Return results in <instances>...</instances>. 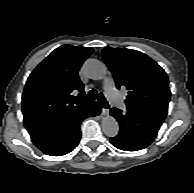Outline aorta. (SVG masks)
Instances as JSON below:
<instances>
[{
    "mask_svg": "<svg viewBox=\"0 0 194 193\" xmlns=\"http://www.w3.org/2000/svg\"><path fill=\"white\" fill-rule=\"evenodd\" d=\"M84 71L93 80L103 79L107 74V67L104 63L96 59H89L85 62ZM102 130L108 137H115L119 132V124L110 115L102 119Z\"/></svg>",
    "mask_w": 194,
    "mask_h": 193,
    "instance_id": "aorta-1",
    "label": "aorta"
}]
</instances>
